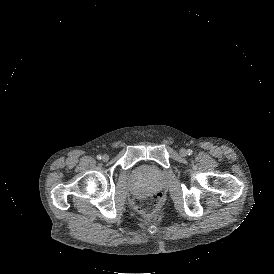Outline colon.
<instances>
[{"mask_svg": "<svg viewBox=\"0 0 274 274\" xmlns=\"http://www.w3.org/2000/svg\"><path fill=\"white\" fill-rule=\"evenodd\" d=\"M164 200L163 192L156 190L148 196H135L132 199V206L142 218H148L163 207Z\"/></svg>", "mask_w": 274, "mask_h": 274, "instance_id": "1", "label": "colon"}]
</instances>
